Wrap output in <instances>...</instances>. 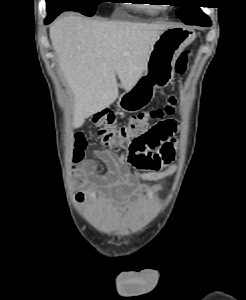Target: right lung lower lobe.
Returning a JSON list of instances; mask_svg holds the SVG:
<instances>
[{"label": "right lung lower lobe", "mask_w": 246, "mask_h": 300, "mask_svg": "<svg viewBox=\"0 0 246 300\" xmlns=\"http://www.w3.org/2000/svg\"><path fill=\"white\" fill-rule=\"evenodd\" d=\"M58 15H59V14H58ZM58 15L48 16V17L45 19V24L51 23Z\"/></svg>", "instance_id": "98d812e1"}]
</instances>
